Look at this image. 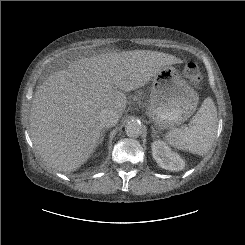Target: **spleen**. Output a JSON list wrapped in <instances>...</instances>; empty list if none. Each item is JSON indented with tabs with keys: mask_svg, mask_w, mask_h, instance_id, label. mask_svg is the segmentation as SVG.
Here are the masks:
<instances>
[{
	"mask_svg": "<svg viewBox=\"0 0 245 245\" xmlns=\"http://www.w3.org/2000/svg\"><path fill=\"white\" fill-rule=\"evenodd\" d=\"M217 122L216 106L213 100L207 97L190 120L189 127L170 130L165 140L179 150L204 155L214 142Z\"/></svg>",
	"mask_w": 245,
	"mask_h": 245,
	"instance_id": "obj_1",
	"label": "spleen"
}]
</instances>
